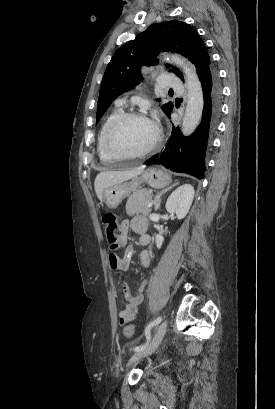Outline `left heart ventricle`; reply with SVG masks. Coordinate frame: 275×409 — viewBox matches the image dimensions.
<instances>
[{
	"instance_id": "1",
	"label": "left heart ventricle",
	"mask_w": 275,
	"mask_h": 409,
	"mask_svg": "<svg viewBox=\"0 0 275 409\" xmlns=\"http://www.w3.org/2000/svg\"><path fill=\"white\" fill-rule=\"evenodd\" d=\"M154 135L151 124L143 120H130L116 131L112 141V152L121 154L144 148Z\"/></svg>"
}]
</instances>
